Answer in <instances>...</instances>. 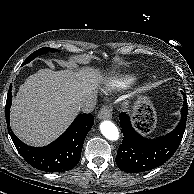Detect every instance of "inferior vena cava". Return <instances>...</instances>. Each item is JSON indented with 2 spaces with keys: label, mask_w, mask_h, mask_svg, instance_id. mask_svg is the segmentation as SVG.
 Listing matches in <instances>:
<instances>
[{
  "label": "inferior vena cava",
  "mask_w": 194,
  "mask_h": 194,
  "mask_svg": "<svg viewBox=\"0 0 194 194\" xmlns=\"http://www.w3.org/2000/svg\"><path fill=\"white\" fill-rule=\"evenodd\" d=\"M96 106V98L94 96H89L87 98H84L79 103V110L84 113H91Z\"/></svg>",
  "instance_id": "obj_1"
}]
</instances>
